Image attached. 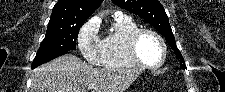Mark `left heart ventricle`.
I'll list each match as a JSON object with an SVG mask.
<instances>
[{"label": "left heart ventricle", "instance_id": "1", "mask_svg": "<svg viewBox=\"0 0 225 92\" xmlns=\"http://www.w3.org/2000/svg\"><path fill=\"white\" fill-rule=\"evenodd\" d=\"M138 53L145 63L156 64L162 58V47L154 36L144 34L138 42Z\"/></svg>", "mask_w": 225, "mask_h": 92}]
</instances>
